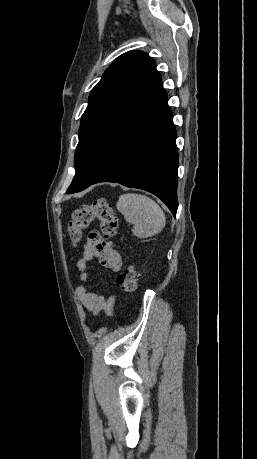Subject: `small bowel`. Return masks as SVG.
Wrapping results in <instances>:
<instances>
[{"label": "small bowel", "mask_w": 257, "mask_h": 459, "mask_svg": "<svg viewBox=\"0 0 257 459\" xmlns=\"http://www.w3.org/2000/svg\"><path fill=\"white\" fill-rule=\"evenodd\" d=\"M97 258L100 265L111 272H118L122 266V258L113 244L108 241L100 240L98 234H89L83 246L82 257L77 261V271L82 282L86 283L89 279L88 264ZM75 295L82 306L92 314L104 311L107 315H114L115 296L104 297L91 291L85 284L80 285L75 290Z\"/></svg>", "instance_id": "small-bowel-1"}]
</instances>
